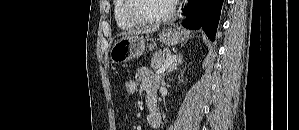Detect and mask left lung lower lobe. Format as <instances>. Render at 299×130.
<instances>
[{"instance_id":"0a47b994","label":"left lung lower lobe","mask_w":299,"mask_h":130,"mask_svg":"<svg viewBox=\"0 0 299 130\" xmlns=\"http://www.w3.org/2000/svg\"><path fill=\"white\" fill-rule=\"evenodd\" d=\"M223 0H189L188 6L182 9L186 20L182 23L185 28H202L212 41L220 19Z\"/></svg>"}]
</instances>
